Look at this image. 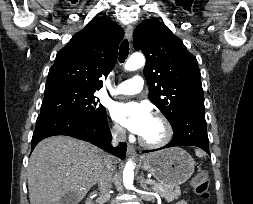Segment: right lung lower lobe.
Segmentation results:
<instances>
[{
    "label": "right lung lower lobe",
    "mask_w": 253,
    "mask_h": 204,
    "mask_svg": "<svg viewBox=\"0 0 253 204\" xmlns=\"http://www.w3.org/2000/svg\"><path fill=\"white\" fill-rule=\"evenodd\" d=\"M55 135H67L90 142L121 159L126 156V143L111 146V132L106 116L100 122H93L71 115L40 114L36 121L31 150L41 140Z\"/></svg>",
    "instance_id": "98d812e1"
}]
</instances>
